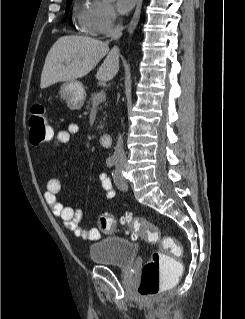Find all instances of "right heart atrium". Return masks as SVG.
<instances>
[{
	"label": "right heart atrium",
	"instance_id": "d8ad5b80",
	"mask_svg": "<svg viewBox=\"0 0 245 319\" xmlns=\"http://www.w3.org/2000/svg\"><path fill=\"white\" fill-rule=\"evenodd\" d=\"M117 22V13L110 3L93 0L89 7V18L83 27L92 34L106 35L114 31Z\"/></svg>",
	"mask_w": 245,
	"mask_h": 319
}]
</instances>
